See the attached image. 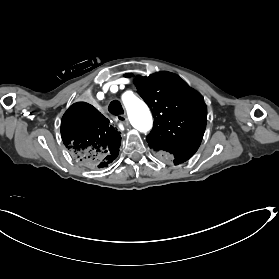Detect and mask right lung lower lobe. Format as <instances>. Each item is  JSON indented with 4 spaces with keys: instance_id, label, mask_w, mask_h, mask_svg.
<instances>
[{
    "instance_id": "98d812e1",
    "label": "right lung lower lobe",
    "mask_w": 279,
    "mask_h": 279,
    "mask_svg": "<svg viewBox=\"0 0 279 279\" xmlns=\"http://www.w3.org/2000/svg\"><path fill=\"white\" fill-rule=\"evenodd\" d=\"M120 132L95 107L71 105L61 120L62 141L74 160L88 169L108 167L119 154Z\"/></svg>"
}]
</instances>
